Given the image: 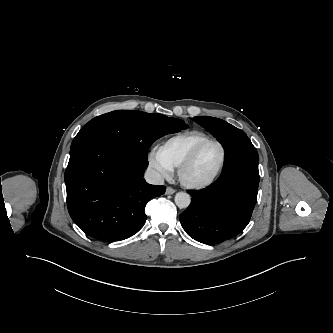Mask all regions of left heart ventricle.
<instances>
[{
  "mask_svg": "<svg viewBox=\"0 0 333 333\" xmlns=\"http://www.w3.org/2000/svg\"><path fill=\"white\" fill-rule=\"evenodd\" d=\"M221 157L220 148L213 143L205 145L198 153L194 163L187 171V177L193 181L208 178L217 167Z\"/></svg>",
  "mask_w": 333,
  "mask_h": 333,
  "instance_id": "b2bd125f",
  "label": "left heart ventricle"
}]
</instances>
